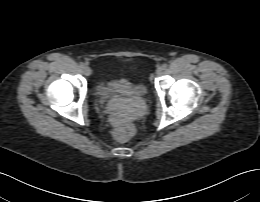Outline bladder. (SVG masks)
<instances>
[{"label":"bladder","mask_w":260,"mask_h":202,"mask_svg":"<svg viewBox=\"0 0 260 202\" xmlns=\"http://www.w3.org/2000/svg\"><path fill=\"white\" fill-rule=\"evenodd\" d=\"M96 90L101 95L118 93L139 98H143L147 94V87L144 82L128 78H119L109 82L99 80L96 84Z\"/></svg>","instance_id":"1"}]
</instances>
